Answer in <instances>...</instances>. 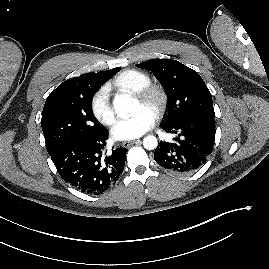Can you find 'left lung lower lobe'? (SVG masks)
I'll return each mask as SVG.
<instances>
[{
  "label": "left lung lower lobe",
  "instance_id": "0a47b994",
  "mask_svg": "<svg viewBox=\"0 0 269 269\" xmlns=\"http://www.w3.org/2000/svg\"><path fill=\"white\" fill-rule=\"evenodd\" d=\"M163 129L177 134L173 143L161 142L155 150V161L176 174H188L201 168L212 152L215 140V119L195 117Z\"/></svg>",
  "mask_w": 269,
  "mask_h": 269
}]
</instances>
